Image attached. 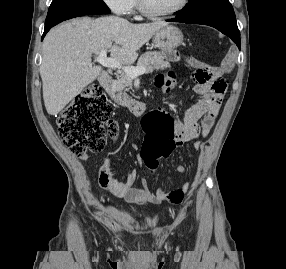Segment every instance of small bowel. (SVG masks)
Segmentation results:
<instances>
[{
    "mask_svg": "<svg viewBox=\"0 0 286 269\" xmlns=\"http://www.w3.org/2000/svg\"><path fill=\"white\" fill-rule=\"evenodd\" d=\"M162 84L163 83L158 81L159 86H162ZM223 90L226 92V83ZM196 91L204 93L198 88H196ZM163 92L165 94H170L171 90L168 87H163ZM222 101L223 100H216L217 103L214 105V110H209L208 107L211 105L210 95L205 93L203 99L196 102L185 112L183 120L180 121L173 118V121L176 122L173 129L178 136V145L188 141H194V146L196 148H200L201 143L197 139L199 137H207L210 134L219 115ZM87 158L88 157L86 154L81 156L82 161H86ZM135 160L140 166L145 164L144 156L140 155V153L136 156ZM175 170L180 174H184L186 172V168L183 165H177ZM137 178V171L131 170L127 174L124 181H118L111 172L110 160L104 162L98 169V184L103 190L109 192L117 198L133 203L159 204L163 201H169L173 204H180L182 201L178 200L177 193L179 191L185 192L189 188V183L186 182L181 186L174 187L170 191H166L163 188H158L155 192H153L149 189L146 180H143V187H135L134 185Z\"/></svg>",
    "mask_w": 286,
    "mask_h": 269,
    "instance_id": "small-bowel-1",
    "label": "small bowel"
}]
</instances>
